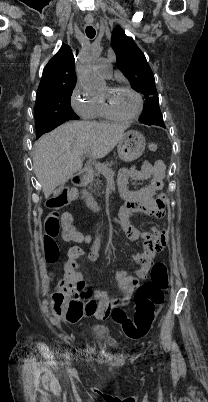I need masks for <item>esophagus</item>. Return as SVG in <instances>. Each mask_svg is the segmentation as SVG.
Here are the masks:
<instances>
[{"label":"esophagus","instance_id":"esophagus-1","mask_svg":"<svg viewBox=\"0 0 208 402\" xmlns=\"http://www.w3.org/2000/svg\"><path fill=\"white\" fill-rule=\"evenodd\" d=\"M86 22H87V24H91L92 22H93V17H92V15H87V17H86Z\"/></svg>","mask_w":208,"mask_h":402}]
</instances>
